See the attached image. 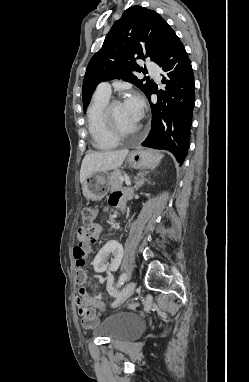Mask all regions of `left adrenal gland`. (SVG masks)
<instances>
[{
	"mask_svg": "<svg viewBox=\"0 0 249 382\" xmlns=\"http://www.w3.org/2000/svg\"><path fill=\"white\" fill-rule=\"evenodd\" d=\"M144 181H145V179L143 177L141 179L137 180L136 185H135L136 191L144 184Z\"/></svg>",
	"mask_w": 249,
	"mask_h": 382,
	"instance_id": "a2214340",
	"label": "left adrenal gland"
}]
</instances>
